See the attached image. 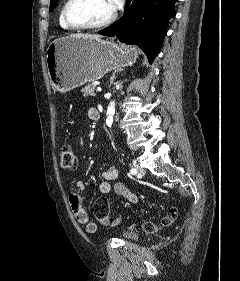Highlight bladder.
<instances>
[{
    "label": "bladder",
    "instance_id": "31cf9c89",
    "mask_svg": "<svg viewBox=\"0 0 240 281\" xmlns=\"http://www.w3.org/2000/svg\"><path fill=\"white\" fill-rule=\"evenodd\" d=\"M121 237L125 240L136 242L140 239V235L136 232H124Z\"/></svg>",
    "mask_w": 240,
    "mask_h": 281
}]
</instances>
